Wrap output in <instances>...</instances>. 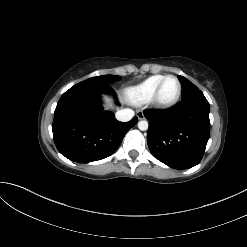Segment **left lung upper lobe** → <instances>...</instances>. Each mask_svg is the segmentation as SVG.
Masks as SVG:
<instances>
[{
  "mask_svg": "<svg viewBox=\"0 0 247 247\" xmlns=\"http://www.w3.org/2000/svg\"><path fill=\"white\" fill-rule=\"evenodd\" d=\"M180 83L182 84L181 98H186L192 91L199 90L194 84L183 76H178Z\"/></svg>",
  "mask_w": 247,
  "mask_h": 247,
  "instance_id": "1",
  "label": "left lung upper lobe"
}]
</instances>
